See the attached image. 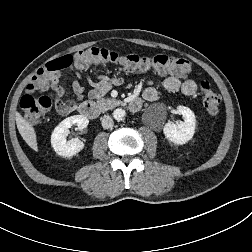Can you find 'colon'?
<instances>
[{
    "label": "colon",
    "mask_w": 252,
    "mask_h": 252,
    "mask_svg": "<svg viewBox=\"0 0 252 252\" xmlns=\"http://www.w3.org/2000/svg\"><path fill=\"white\" fill-rule=\"evenodd\" d=\"M113 63L121 66L126 71H148L156 70L161 73H171L186 77L192 73V65L184 58L156 55L154 57H143L136 54H120L117 51L92 47L80 50L74 55H65L48 62L39 69L27 86L26 94L20 100V111L30 121L37 122L52 107L53 99L48 95L36 96L37 92L46 91L54 86L59 74L70 67L84 70L92 65H105ZM202 103L211 117L219 113L221 98L209 82L202 81L200 84ZM57 97L58 92H53Z\"/></svg>",
    "instance_id": "colon-1"
}]
</instances>
